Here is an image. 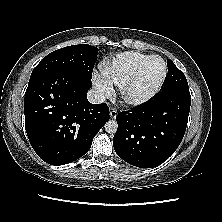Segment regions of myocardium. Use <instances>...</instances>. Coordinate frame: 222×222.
I'll return each instance as SVG.
<instances>
[{"label": "myocardium", "instance_id": "obj_1", "mask_svg": "<svg viewBox=\"0 0 222 222\" xmlns=\"http://www.w3.org/2000/svg\"><path fill=\"white\" fill-rule=\"evenodd\" d=\"M153 59H160L163 63L164 70L162 77L158 81V83L147 93L143 95H134L133 89L136 86V84L139 82L140 78L142 77V74L147 67V65L153 60ZM168 74V67L166 64V61L159 55H151L148 59H146L136 70V72L127 80V82L122 86L121 88V95L123 100L131 105V106H140L143 105L150 100H152L162 89L166 78Z\"/></svg>", "mask_w": 222, "mask_h": 222}]
</instances>
